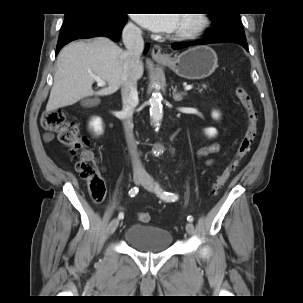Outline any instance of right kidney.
<instances>
[{
    "mask_svg": "<svg viewBox=\"0 0 303 303\" xmlns=\"http://www.w3.org/2000/svg\"><path fill=\"white\" fill-rule=\"evenodd\" d=\"M90 128L97 134H101L103 132V123L102 119L99 117L93 118L89 123Z\"/></svg>",
    "mask_w": 303,
    "mask_h": 303,
    "instance_id": "1",
    "label": "right kidney"
}]
</instances>
